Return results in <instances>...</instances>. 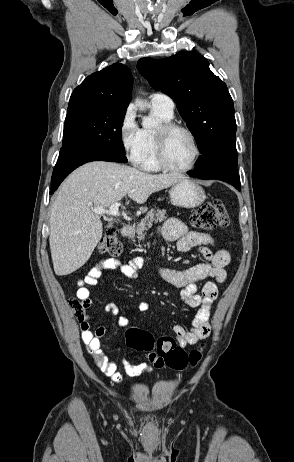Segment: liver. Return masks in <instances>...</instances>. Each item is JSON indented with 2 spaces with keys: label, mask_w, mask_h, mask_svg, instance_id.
<instances>
[{
  "label": "liver",
  "mask_w": 294,
  "mask_h": 462,
  "mask_svg": "<svg viewBox=\"0 0 294 462\" xmlns=\"http://www.w3.org/2000/svg\"><path fill=\"white\" fill-rule=\"evenodd\" d=\"M184 178L103 161L76 169L62 183L51 206L49 243L55 274L68 275L82 267L101 240L103 224L94 208H109L126 195L144 204L152 193Z\"/></svg>",
  "instance_id": "liver-1"
}]
</instances>
